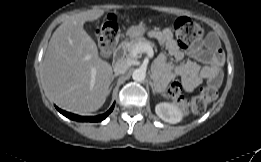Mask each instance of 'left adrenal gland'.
I'll list each match as a JSON object with an SVG mask.
<instances>
[{"instance_id":"1","label":"left adrenal gland","mask_w":261,"mask_h":162,"mask_svg":"<svg viewBox=\"0 0 261 162\" xmlns=\"http://www.w3.org/2000/svg\"><path fill=\"white\" fill-rule=\"evenodd\" d=\"M150 85H151V88H152V91L153 93H156L155 89H154V86H153V83L150 81Z\"/></svg>"}]
</instances>
